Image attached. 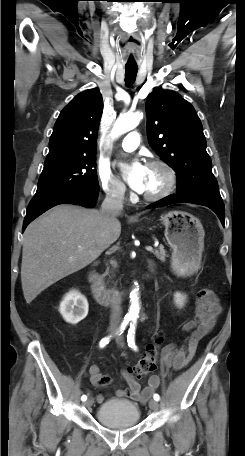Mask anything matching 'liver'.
I'll return each instance as SVG.
<instances>
[{"instance_id": "6515ba94", "label": "liver", "mask_w": 245, "mask_h": 456, "mask_svg": "<svg viewBox=\"0 0 245 456\" xmlns=\"http://www.w3.org/2000/svg\"><path fill=\"white\" fill-rule=\"evenodd\" d=\"M58 205L25 230L21 282L26 303L46 288L97 259L121 234L117 216Z\"/></svg>"}]
</instances>
